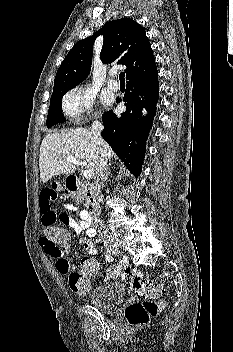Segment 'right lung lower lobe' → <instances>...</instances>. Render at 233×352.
<instances>
[{
    "label": "right lung lower lobe",
    "mask_w": 233,
    "mask_h": 352,
    "mask_svg": "<svg viewBox=\"0 0 233 352\" xmlns=\"http://www.w3.org/2000/svg\"><path fill=\"white\" fill-rule=\"evenodd\" d=\"M158 90V72L155 68L146 75L128 80L123 98L127 109L120 117L113 111L103 114L102 137L136 177L142 170L145 141L156 113ZM120 101V98L116 99V102ZM142 108L147 110L146 116H142ZM134 141H137L136 145Z\"/></svg>",
    "instance_id": "1"
}]
</instances>
